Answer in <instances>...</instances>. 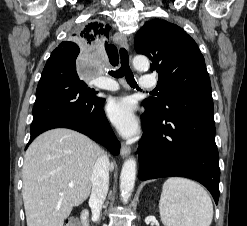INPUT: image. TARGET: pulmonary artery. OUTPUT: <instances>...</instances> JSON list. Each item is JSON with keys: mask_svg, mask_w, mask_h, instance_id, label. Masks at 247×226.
<instances>
[{"mask_svg": "<svg viewBox=\"0 0 247 226\" xmlns=\"http://www.w3.org/2000/svg\"><path fill=\"white\" fill-rule=\"evenodd\" d=\"M98 86L102 89L116 91L119 89L118 84L111 79H102ZM157 86V81L151 76H143L140 80V87L142 89L150 90L154 89Z\"/></svg>", "mask_w": 247, "mask_h": 226, "instance_id": "e3ab8cb5", "label": "pulmonary artery"}]
</instances>
